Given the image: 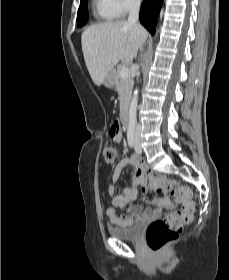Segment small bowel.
Listing matches in <instances>:
<instances>
[{
  "mask_svg": "<svg viewBox=\"0 0 229 280\" xmlns=\"http://www.w3.org/2000/svg\"><path fill=\"white\" fill-rule=\"evenodd\" d=\"M111 140L114 144H119L122 140L121 131H117L116 133L112 134ZM128 167L132 168V172L130 174V180L132 181V184L129 188L123 190L120 194L113 196L114 187L111 185L107 187V193L111 195L112 206L107 208L106 214L110 223L117 227L131 226L139 220L148 219L154 215L161 214L163 209L172 207L171 201L168 197H166V193H164V196L156 195L145 200L147 203L154 206L153 209L142 208L138 204H132L126 214H118L117 209H122L126 207L128 203L133 201L137 197L139 185L146 186L147 177L151 175L140 158L136 156H130L122 159L116 166L113 179L118 181L123 170ZM154 190L160 194L159 189Z\"/></svg>",
  "mask_w": 229,
  "mask_h": 280,
  "instance_id": "1",
  "label": "small bowel"
}]
</instances>
